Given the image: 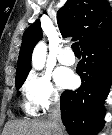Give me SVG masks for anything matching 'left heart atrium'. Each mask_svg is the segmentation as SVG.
Segmentation results:
<instances>
[{"label": "left heart atrium", "mask_w": 112, "mask_h": 135, "mask_svg": "<svg viewBox=\"0 0 112 135\" xmlns=\"http://www.w3.org/2000/svg\"><path fill=\"white\" fill-rule=\"evenodd\" d=\"M54 78L60 88H70L76 81L73 72L67 68H58L54 73Z\"/></svg>", "instance_id": "1"}]
</instances>
